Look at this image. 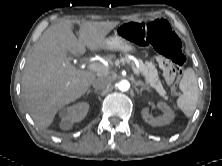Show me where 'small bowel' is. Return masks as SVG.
I'll use <instances>...</instances> for the list:
<instances>
[{
  "label": "small bowel",
  "instance_id": "1",
  "mask_svg": "<svg viewBox=\"0 0 222 166\" xmlns=\"http://www.w3.org/2000/svg\"><path fill=\"white\" fill-rule=\"evenodd\" d=\"M161 60H162V57H161V56L157 57V62H158V64H159V66H160Z\"/></svg>",
  "mask_w": 222,
  "mask_h": 166
}]
</instances>
